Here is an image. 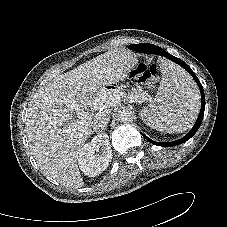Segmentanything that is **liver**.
Instances as JSON below:
<instances>
[{
	"label": "liver",
	"instance_id": "1",
	"mask_svg": "<svg viewBox=\"0 0 227 227\" xmlns=\"http://www.w3.org/2000/svg\"><path fill=\"white\" fill-rule=\"evenodd\" d=\"M134 64L136 59L126 49L107 51L34 94L26 131L32 155L46 175L66 188L84 186L77 164L81 149L96 117L109 116L110 108L119 104L106 87L124 80ZM77 109L85 111L86 117L75 121Z\"/></svg>",
	"mask_w": 227,
	"mask_h": 227
}]
</instances>
